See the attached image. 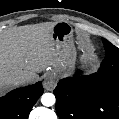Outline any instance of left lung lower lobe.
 <instances>
[{
	"label": "left lung lower lobe",
	"mask_w": 119,
	"mask_h": 119,
	"mask_svg": "<svg viewBox=\"0 0 119 119\" xmlns=\"http://www.w3.org/2000/svg\"><path fill=\"white\" fill-rule=\"evenodd\" d=\"M102 41L106 57L98 72L61 79L55 88L60 119H119V48Z\"/></svg>",
	"instance_id": "1"
}]
</instances>
